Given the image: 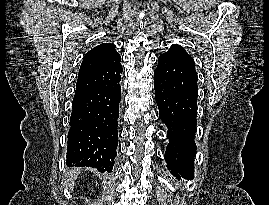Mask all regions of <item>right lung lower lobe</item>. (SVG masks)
<instances>
[{"label":"right lung lower lobe","instance_id":"right-lung-lower-lobe-1","mask_svg":"<svg viewBox=\"0 0 269 205\" xmlns=\"http://www.w3.org/2000/svg\"><path fill=\"white\" fill-rule=\"evenodd\" d=\"M76 89L68 132L67 165L111 172L118 146L121 86Z\"/></svg>","mask_w":269,"mask_h":205}]
</instances>
